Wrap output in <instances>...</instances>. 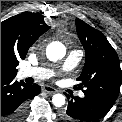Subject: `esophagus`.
Segmentation results:
<instances>
[{
  "instance_id": "esophagus-1",
  "label": "esophagus",
  "mask_w": 122,
  "mask_h": 122,
  "mask_svg": "<svg viewBox=\"0 0 122 122\" xmlns=\"http://www.w3.org/2000/svg\"><path fill=\"white\" fill-rule=\"evenodd\" d=\"M43 90L49 94H54L57 92V90L54 87L51 86H45Z\"/></svg>"
}]
</instances>
